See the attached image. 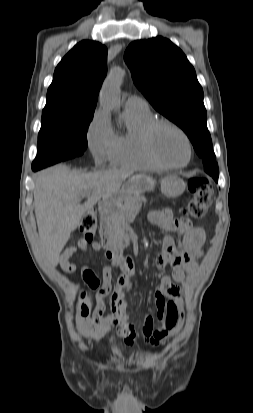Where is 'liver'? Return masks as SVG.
<instances>
[{
    "label": "liver",
    "instance_id": "obj_1",
    "mask_svg": "<svg viewBox=\"0 0 253 413\" xmlns=\"http://www.w3.org/2000/svg\"><path fill=\"white\" fill-rule=\"evenodd\" d=\"M129 173L106 170L93 173L71 171L56 165L38 174L34 188V207L40 239V252L47 263L56 267L59 256L85 212L101 198L116 194ZM91 196L79 203L82 193Z\"/></svg>",
    "mask_w": 253,
    "mask_h": 413
}]
</instances>
